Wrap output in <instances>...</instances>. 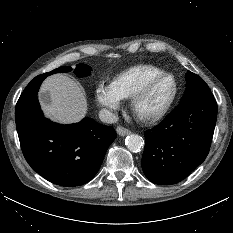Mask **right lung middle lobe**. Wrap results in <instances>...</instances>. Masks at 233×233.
<instances>
[{
	"label": "right lung middle lobe",
	"instance_id": "obj_1",
	"mask_svg": "<svg viewBox=\"0 0 233 233\" xmlns=\"http://www.w3.org/2000/svg\"><path fill=\"white\" fill-rule=\"evenodd\" d=\"M72 70L71 67L69 66H64V67H59L49 73H47V76L48 75H51V74H54V73H65V72H70ZM91 70L92 68L88 65H85V64H77L76 65V68L74 70V74L77 76V77H86V76H89L90 73H91Z\"/></svg>",
	"mask_w": 233,
	"mask_h": 233
}]
</instances>
